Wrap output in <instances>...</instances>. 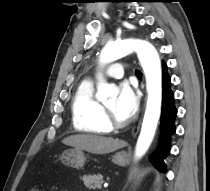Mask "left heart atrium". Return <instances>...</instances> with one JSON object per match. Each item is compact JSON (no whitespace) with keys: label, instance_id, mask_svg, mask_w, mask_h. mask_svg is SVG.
Masks as SVG:
<instances>
[{"label":"left heart atrium","instance_id":"1","mask_svg":"<svg viewBox=\"0 0 210 191\" xmlns=\"http://www.w3.org/2000/svg\"><path fill=\"white\" fill-rule=\"evenodd\" d=\"M139 98L133 88L123 82L119 86V95L116 102V112L124 120L130 119L137 111Z\"/></svg>","mask_w":210,"mask_h":191}]
</instances>
